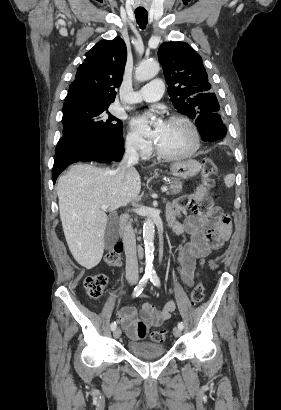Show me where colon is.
Returning a JSON list of instances; mask_svg holds the SVG:
<instances>
[{
  "instance_id": "1",
  "label": "colon",
  "mask_w": 281,
  "mask_h": 410,
  "mask_svg": "<svg viewBox=\"0 0 281 410\" xmlns=\"http://www.w3.org/2000/svg\"><path fill=\"white\" fill-rule=\"evenodd\" d=\"M218 173V167L212 159H205L202 164V182L204 187L209 192L208 199L201 201L196 205V211L200 214H211L219 212L218 198L210 190L213 187L214 176ZM225 223L230 222L228 215H223ZM122 245L117 243L113 249L109 250L105 255V262L111 267H117L121 263ZM107 285V278L103 274L90 275L84 280V289L87 296L91 299H100L103 296L105 287ZM204 298V287L201 283H198L193 288L190 294L191 304L193 306L198 305ZM167 338V334L163 330H153L150 332V339L153 342L161 343Z\"/></svg>"
}]
</instances>
